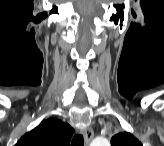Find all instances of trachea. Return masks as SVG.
<instances>
[{"label": "trachea", "instance_id": "obj_1", "mask_svg": "<svg viewBox=\"0 0 164 146\" xmlns=\"http://www.w3.org/2000/svg\"><path fill=\"white\" fill-rule=\"evenodd\" d=\"M71 146H83V136L75 135L72 139Z\"/></svg>", "mask_w": 164, "mask_h": 146}]
</instances>
